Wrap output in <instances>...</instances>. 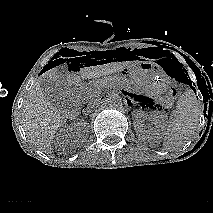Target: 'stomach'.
<instances>
[{
	"label": "stomach",
	"instance_id": "stomach-1",
	"mask_svg": "<svg viewBox=\"0 0 213 213\" xmlns=\"http://www.w3.org/2000/svg\"><path fill=\"white\" fill-rule=\"evenodd\" d=\"M121 74L150 96L163 95L169 89V79L163 68L153 61H141L132 67L124 68Z\"/></svg>",
	"mask_w": 213,
	"mask_h": 213
}]
</instances>
